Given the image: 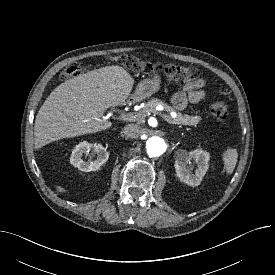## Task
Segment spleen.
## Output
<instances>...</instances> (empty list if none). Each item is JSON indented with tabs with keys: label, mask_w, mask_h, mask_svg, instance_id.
Wrapping results in <instances>:
<instances>
[{
	"label": "spleen",
	"mask_w": 275,
	"mask_h": 275,
	"mask_svg": "<svg viewBox=\"0 0 275 275\" xmlns=\"http://www.w3.org/2000/svg\"><path fill=\"white\" fill-rule=\"evenodd\" d=\"M238 153L236 149H227L222 154L225 170L228 174H231L235 168L237 162Z\"/></svg>",
	"instance_id": "obj_1"
}]
</instances>
